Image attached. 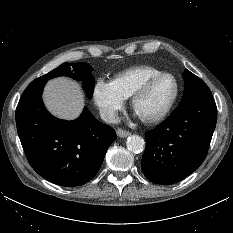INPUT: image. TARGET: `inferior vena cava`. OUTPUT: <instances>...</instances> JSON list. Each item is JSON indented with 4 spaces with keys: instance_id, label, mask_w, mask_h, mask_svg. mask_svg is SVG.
I'll list each match as a JSON object with an SVG mask.
<instances>
[{
    "instance_id": "obj_1",
    "label": "inferior vena cava",
    "mask_w": 233,
    "mask_h": 233,
    "mask_svg": "<svg viewBox=\"0 0 233 233\" xmlns=\"http://www.w3.org/2000/svg\"><path fill=\"white\" fill-rule=\"evenodd\" d=\"M100 117L101 119L106 123H119L120 119L119 117L108 110H101L100 111Z\"/></svg>"
}]
</instances>
